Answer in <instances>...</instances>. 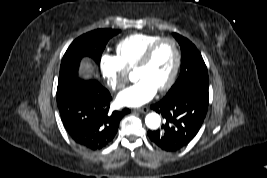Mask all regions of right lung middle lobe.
Returning a JSON list of instances; mask_svg holds the SVG:
<instances>
[{"mask_svg": "<svg viewBox=\"0 0 267 178\" xmlns=\"http://www.w3.org/2000/svg\"><path fill=\"white\" fill-rule=\"evenodd\" d=\"M119 32L120 30L97 29L74 40L63 56L59 81L76 78L80 61L84 57H89L99 64L108 40Z\"/></svg>", "mask_w": 267, "mask_h": 178, "instance_id": "right-lung-middle-lobe-1", "label": "right lung middle lobe"}]
</instances>
